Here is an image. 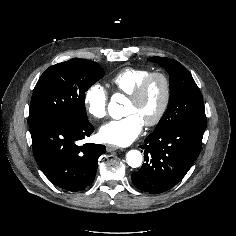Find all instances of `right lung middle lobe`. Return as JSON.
Returning a JSON list of instances; mask_svg holds the SVG:
<instances>
[{
    "mask_svg": "<svg viewBox=\"0 0 236 236\" xmlns=\"http://www.w3.org/2000/svg\"><path fill=\"white\" fill-rule=\"evenodd\" d=\"M103 76L98 63L80 58L49 67L34 88L29 118L87 120L85 92Z\"/></svg>",
    "mask_w": 236,
    "mask_h": 236,
    "instance_id": "right-lung-middle-lobe-1",
    "label": "right lung middle lobe"
}]
</instances>
